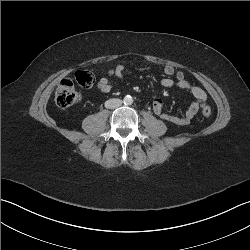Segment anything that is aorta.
<instances>
[{
    "label": "aorta",
    "instance_id": "762f6f07",
    "mask_svg": "<svg viewBox=\"0 0 250 250\" xmlns=\"http://www.w3.org/2000/svg\"><path fill=\"white\" fill-rule=\"evenodd\" d=\"M123 102L125 105H131L133 103V98L130 95L124 97Z\"/></svg>",
    "mask_w": 250,
    "mask_h": 250
}]
</instances>
